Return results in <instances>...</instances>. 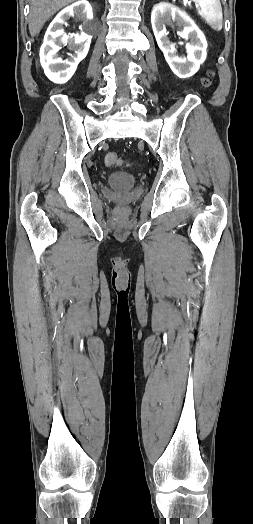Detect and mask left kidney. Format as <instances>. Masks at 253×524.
I'll return each mask as SVG.
<instances>
[{
	"label": "left kidney",
	"instance_id": "1",
	"mask_svg": "<svg viewBox=\"0 0 253 524\" xmlns=\"http://www.w3.org/2000/svg\"><path fill=\"white\" fill-rule=\"evenodd\" d=\"M176 22L182 30L179 35L189 39L186 43L187 57L181 58L176 54V49L168 39L165 24ZM152 29L161 51L171 70L180 78L194 75L206 59L207 41L193 20L179 8L170 3L161 2L154 5L151 12Z\"/></svg>",
	"mask_w": 253,
	"mask_h": 524
}]
</instances>
